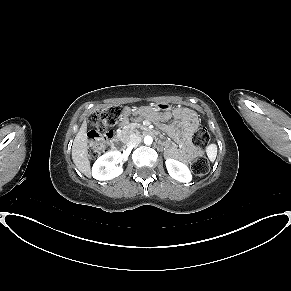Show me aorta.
I'll list each match as a JSON object with an SVG mask.
<instances>
[{
    "mask_svg": "<svg viewBox=\"0 0 291 291\" xmlns=\"http://www.w3.org/2000/svg\"><path fill=\"white\" fill-rule=\"evenodd\" d=\"M152 142H153V138L151 136L147 135V136L144 137V143L146 145H151Z\"/></svg>",
    "mask_w": 291,
    "mask_h": 291,
    "instance_id": "aorta-1",
    "label": "aorta"
}]
</instances>
